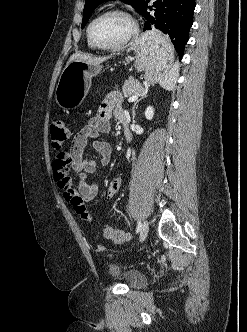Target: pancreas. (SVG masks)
Wrapping results in <instances>:
<instances>
[{
  "mask_svg": "<svg viewBox=\"0 0 247 332\" xmlns=\"http://www.w3.org/2000/svg\"><path fill=\"white\" fill-rule=\"evenodd\" d=\"M143 86L136 79H129L125 81L122 87V93L124 97H131L133 95L143 92Z\"/></svg>",
  "mask_w": 247,
  "mask_h": 332,
  "instance_id": "pancreas-1",
  "label": "pancreas"
}]
</instances>
